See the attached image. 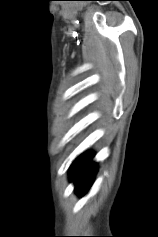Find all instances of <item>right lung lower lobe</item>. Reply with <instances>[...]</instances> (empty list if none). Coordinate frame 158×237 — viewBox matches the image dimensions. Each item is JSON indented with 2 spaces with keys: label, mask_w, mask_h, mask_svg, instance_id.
<instances>
[{
  "label": "right lung lower lobe",
  "mask_w": 158,
  "mask_h": 237,
  "mask_svg": "<svg viewBox=\"0 0 158 237\" xmlns=\"http://www.w3.org/2000/svg\"><path fill=\"white\" fill-rule=\"evenodd\" d=\"M93 154L88 152L79 156L71 165V180L75 181L76 192L83 196L90 188L94 179L96 164L92 163Z\"/></svg>",
  "instance_id": "98d812e1"
}]
</instances>
